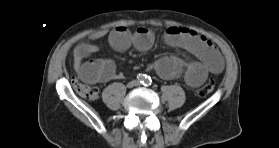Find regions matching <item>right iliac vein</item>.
<instances>
[{
  "label": "right iliac vein",
  "instance_id": "1",
  "mask_svg": "<svg viewBox=\"0 0 279 148\" xmlns=\"http://www.w3.org/2000/svg\"><path fill=\"white\" fill-rule=\"evenodd\" d=\"M133 86H134V82L128 83V87H129V88H131V87H133Z\"/></svg>",
  "mask_w": 279,
  "mask_h": 148
}]
</instances>
